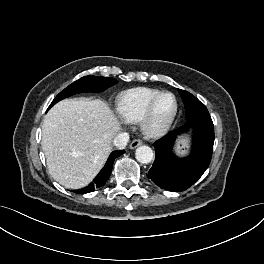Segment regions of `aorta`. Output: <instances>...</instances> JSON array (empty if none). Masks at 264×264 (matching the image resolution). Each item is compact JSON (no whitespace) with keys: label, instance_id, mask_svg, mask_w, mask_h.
<instances>
[{"label":"aorta","instance_id":"obj_1","mask_svg":"<svg viewBox=\"0 0 264 264\" xmlns=\"http://www.w3.org/2000/svg\"><path fill=\"white\" fill-rule=\"evenodd\" d=\"M135 157L138 162L147 164L153 160L154 153L149 146L142 145L136 149Z\"/></svg>","mask_w":264,"mask_h":264}]
</instances>
